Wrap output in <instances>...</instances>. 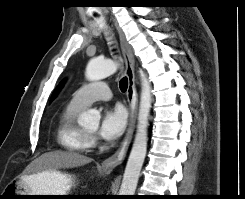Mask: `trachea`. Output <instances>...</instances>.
I'll list each match as a JSON object with an SVG mask.
<instances>
[{
    "instance_id": "3493384b",
    "label": "trachea",
    "mask_w": 245,
    "mask_h": 199,
    "mask_svg": "<svg viewBox=\"0 0 245 199\" xmlns=\"http://www.w3.org/2000/svg\"><path fill=\"white\" fill-rule=\"evenodd\" d=\"M119 87L122 92H125L128 88V79L127 77H124L119 82Z\"/></svg>"
}]
</instances>
